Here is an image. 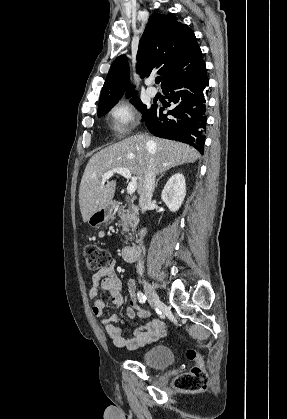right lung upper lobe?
I'll use <instances>...</instances> for the list:
<instances>
[{"instance_id": "cb5924a9", "label": "right lung upper lobe", "mask_w": 287, "mask_h": 419, "mask_svg": "<svg viewBox=\"0 0 287 419\" xmlns=\"http://www.w3.org/2000/svg\"><path fill=\"white\" fill-rule=\"evenodd\" d=\"M138 73L147 77L157 71L162 88L205 69L193 31L173 14H153L148 21L137 53ZM127 57H117L111 65L99 100V108L117 103L129 84ZM135 96L131 86L127 96Z\"/></svg>"}]
</instances>
